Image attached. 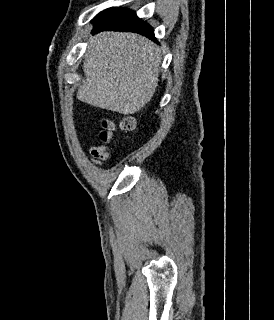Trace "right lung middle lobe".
Listing matches in <instances>:
<instances>
[{
	"instance_id": "obj_1",
	"label": "right lung middle lobe",
	"mask_w": 274,
	"mask_h": 320,
	"mask_svg": "<svg viewBox=\"0 0 274 320\" xmlns=\"http://www.w3.org/2000/svg\"><path fill=\"white\" fill-rule=\"evenodd\" d=\"M113 8L106 9L105 11L100 12L93 20L92 22H95L99 20L100 18L104 17L105 15L109 14Z\"/></svg>"
}]
</instances>
